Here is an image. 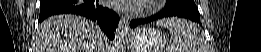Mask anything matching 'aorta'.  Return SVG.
<instances>
[{"instance_id":"762f6f07","label":"aorta","mask_w":261,"mask_h":52,"mask_svg":"<svg viewBox=\"0 0 261 52\" xmlns=\"http://www.w3.org/2000/svg\"><path fill=\"white\" fill-rule=\"evenodd\" d=\"M124 33L121 30H118L115 36V44H117V52H123L124 47L122 45Z\"/></svg>"}]
</instances>
